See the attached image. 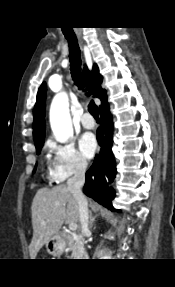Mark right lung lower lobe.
<instances>
[{"label": "right lung lower lobe", "mask_w": 175, "mask_h": 287, "mask_svg": "<svg viewBox=\"0 0 175 287\" xmlns=\"http://www.w3.org/2000/svg\"><path fill=\"white\" fill-rule=\"evenodd\" d=\"M100 115L101 129L97 131V140L101 146V152L96 155L92 166L86 173L83 192L99 204L114 210L111 202L115 197V191L111 184L116 176V167L111 151L113 124L109 106L100 110Z\"/></svg>", "instance_id": "right-lung-lower-lobe-1"}]
</instances>
